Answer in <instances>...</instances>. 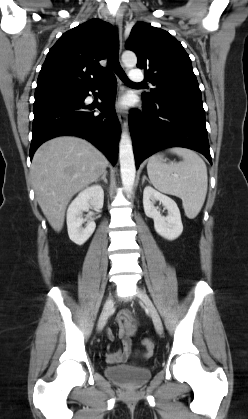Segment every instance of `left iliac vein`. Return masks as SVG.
Segmentation results:
<instances>
[{
  "label": "left iliac vein",
  "mask_w": 248,
  "mask_h": 419,
  "mask_svg": "<svg viewBox=\"0 0 248 419\" xmlns=\"http://www.w3.org/2000/svg\"><path fill=\"white\" fill-rule=\"evenodd\" d=\"M137 297L143 301V303L146 306V309L148 311V313L150 314L153 324L155 326V329L157 331L158 334H162L163 333V325H162V321L160 319V316L153 304V302L151 301V299L149 298V296L142 290L138 289L137 290Z\"/></svg>",
  "instance_id": "left-iliac-vein-1"
}]
</instances>
